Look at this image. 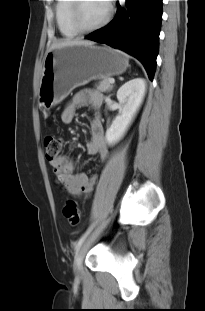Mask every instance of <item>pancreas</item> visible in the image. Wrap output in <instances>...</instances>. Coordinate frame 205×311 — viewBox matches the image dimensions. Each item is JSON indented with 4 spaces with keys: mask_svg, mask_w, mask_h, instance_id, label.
Listing matches in <instances>:
<instances>
[{
    "mask_svg": "<svg viewBox=\"0 0 205 311\" xmlns=\"http://www.w3.org/2000/svg\"><path fill=\"white\" fill-rule=\"evenodd\" d=\"M108 77L102 78V80L96 85V90L100 92H108L112 89L113 85L109 82Z\"/></svg>",
    "mask_w": 205,
    "mask_h": 311,
    "instance_id": "obj_1",
    "label": "pancreas"
}]
</instances>
